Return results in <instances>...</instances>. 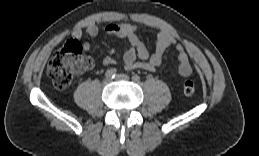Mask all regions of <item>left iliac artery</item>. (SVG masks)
I'll use <instances>...</instances> for the list:
<instances>
[{
    "label": "left iliac artery",
    "mask_w": 259,
    "mask_h": 156,
    "mask_svg": "<svg viewBox=\"0 0 259 156\" xmlns=\"http://www.w3.org/2000/svg\"><path fill=\"white\" fill-rule=\"evenodd\" d=\"M132 80L136 83H139L140 82V77L138 75H133L132 76Z\"/></svg>",
    "instance_id": "44dca946"
}]
</instances>
